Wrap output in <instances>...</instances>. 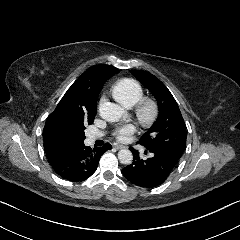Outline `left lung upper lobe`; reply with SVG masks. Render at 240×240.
Listing matches in <instances>:
<instances>
[{
    "label": "left lung upper lobe",
    "instance_id": "1",
    "mask_svg": "<svg viewBox=\"0 0 240 240\" xmlns=\"http://www.w3.org/2000/svg\"><path fill=\"white\" fill-rule=\"evenodd\" d=\"M130 72L153 94L159 109L158 119L138 143L146 149L158 148L180 159L186 147L187 135L176 100L167 87L151 73L142 70Z\"/></svg>",
    "mask_w": 240,
    "mask_h": 240
}]
</instances>
